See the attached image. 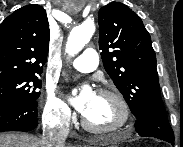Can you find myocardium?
<instances>
[{
	"label": "myocardium",
	"mask_w": 183,
	"mask_h": 147,
	"mask_svg": "<svg viewBox=\"0 0 183 147\" xmlns=\"http://www.w3.org/2000/svg\"><path fill=\"white\" fill-rule=\"evenodd\" d=\"M98 95L101 96H108L111 97L115 102L118 104V106L121 109V121L110 127H104V128H99L94 125H92L84 115L81 117V123L82 126L89 132L95 133V134H108V133H115L122 131L126 128H128L131 124L132 120V113H131V108L127 100L124 98V96L112 89H100L97 92Z\"/></svg>",
	"instance_id": "1"
}]
</instances>
